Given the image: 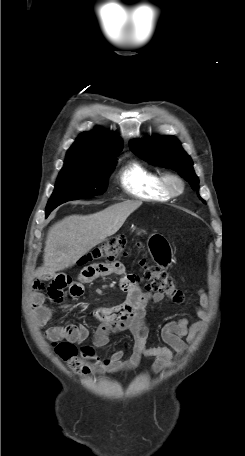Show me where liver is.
<instances>
[{"label":"liver","instance_id":"liver-1","mask_svg":"<svg viewBox=\"0 0 245 456\" xmlns=\"http://www.w3.org/2000/svg\"><path fill=\"white\" fill-rule=\"evenodd\" d=\"M141 201L127 200L90 215H70L55 223L45 241L43 267L37 277L52 275L76 264L93 247L114 235Z\"/></svg>","mask_w":245,"mask_h":456}]
</instances>
